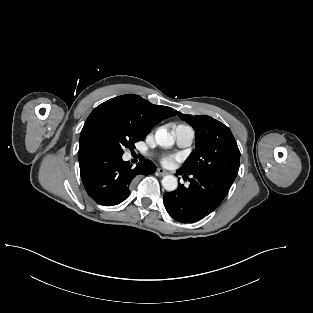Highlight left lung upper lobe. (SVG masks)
Returning a JSON list of instances; mask_svg holds the SVG:
<instances>
[{
	"instance_id": "obj_1",
	"label": "left lung upper lobe",
	"mask_w": 313,
	"mask_h": 313,
	"mask_svg": "<svg viewBox=\"0 0 313 313\" xmlns=\"http://www.w3.org/2000/svg\"><path fill=\"white\" fill-rule=\"evenodd\" d=\"M177 115L195 130L196 150L180 170L188 175L217 176L234 181L239 170L240 151L231 130L223 123L204 115Z\"/></svg>"
}]
</instances>
